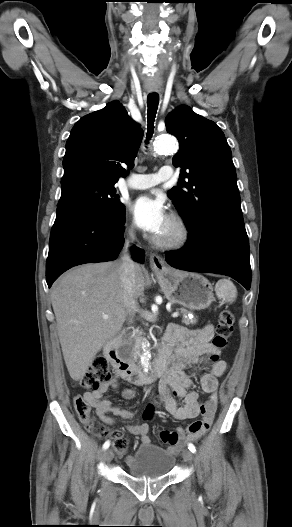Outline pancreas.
<instances>
[{
  "mask_svg": "<svg viewBox=\"0 0 292 527\" xmlns=\"http://www.w3.org/2000/svg\"><path fill=\"white\" fill-rule=\"evenodd\" d=\"M182 314V323L185 325L195 324L197 322L196 318H189L190 311L184 308L178 309ZM133 343H140L142 341L141 333L137 332L136 335L131 339Z\"/></svg>",
  "mask_w": 292,
  "mask_h": 527,
  "instance_id": "pancreas-1",
  "label": "pancreas"
}]
</instances>
